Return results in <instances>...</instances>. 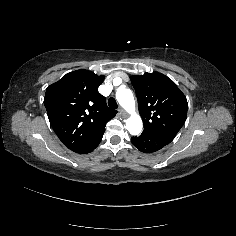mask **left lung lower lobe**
Here are the masks:
<instances>
[{
  "label": "left lung lower lobe",
  "mask_w": 236,
  "mask_h": 236,
  "mask_svg": "<svg viewBox=\"0 0 236 236\" xmlns=\"http://www.w3.org/2000/svg\"><path fill=\"white\" fill-rule=\"evenodd\" d=\"M173 140L172 137L166 135H155L142 133L139 137H132V144L141 152L152 153L160 150Z\"/></svg>",
  "instance_id": "0a47b994"
}]
</instances>
